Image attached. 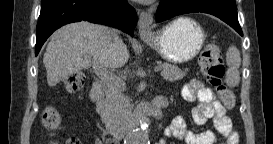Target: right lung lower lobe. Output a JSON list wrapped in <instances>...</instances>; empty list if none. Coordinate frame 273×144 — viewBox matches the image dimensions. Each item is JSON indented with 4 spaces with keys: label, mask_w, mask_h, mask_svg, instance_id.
<instances>
[{
    "label": "right lung lower lobe",
    "mask_w": 273,
    "mask_h": 144,
    "mask_svg": "<svg viewBox=\"0 0 273 144\" xmlns=\"http://www.w3.org/2000/svg\"><path fill=\"white\" fill-rule=\"evenodd\" d=\"M79 21L113 26L133 36L137 14L127 0H42L35 55L56 29Z\"/></svg>",
    "instance_id": "98d812e1"
}]
</instances>
